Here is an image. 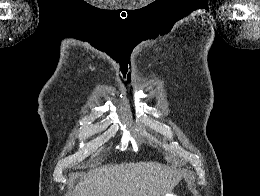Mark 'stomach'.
<instances>
[{"label": "stomach", "instance_id": "stomach-1", "mask_svg": "<svg viewBox=\"0 0 260 196\" xmlns=\"http://www.w3.org/2000/svg\"><path fill=\"white\" fill-rule=\"evenodd\" d=\"M162 196H175V193H162Z\"/></svg>", "mask_w": 260, "mask_h": 196}]
</instances>
